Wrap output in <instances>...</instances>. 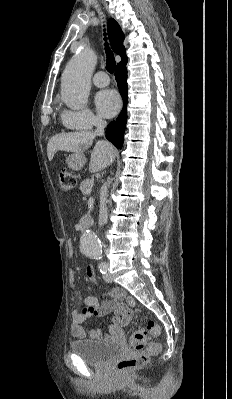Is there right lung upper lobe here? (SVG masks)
<instances>
[{"label":"right lung upper lobe","mask_w":232,"mask_h":399,"mask_svg":"<svg viewBox=\"0 0 232 399\" xmlns=\"http://www.w3.org/2000/svg\"><path fill=\"white\" fill-rule=\"evenodd\" d=\"M108 31L113 50L121 56L122 61L126 60L127 57L123 46L124 34L114 19L108 20Z\"/></svg>","instance_id":"obj_1"}]
</instances>
